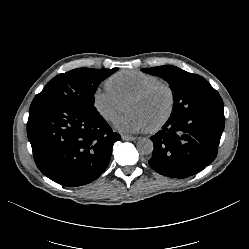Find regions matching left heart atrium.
<instances>
[{
    "instance_id": "39dd6f15",
    "label": "left heart atrium",
    "mask_w": 249,
    "mask_h": 249,
    "mask_svg": "<svg viewBox=\"0 0 249 249\" xmlns=\"http://www.w3.org/2000/svg\"><path fill=\"white\" fill-rule=\"evenodd\" d=\"M114 128L124 133H140L147 131L149 126L139 113L130 112L116 117Z\"/></svg>"
}]
</instances>
